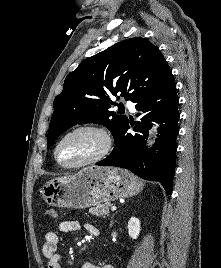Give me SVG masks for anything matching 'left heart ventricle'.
I'll return each instance as SVG.
<instances>
[{
    "label": "left heart ventricle",
    "instance_id": "left-heart-ventricle-1",
    "mask_svg": "<svg viewBox=\"0 0 221 268\" xmlns=\"http://www.w3.org/2000/svg\"><path fill=\"white\" fill-rule=\"evenodd\" d=\"M102 145L101 137L91 131H81L68 137L60 146L59 159L64 164H76L96 154Z\"/></svg>",
    "mask_w": 221,
    "mask_h": 268
}]
</instances>
